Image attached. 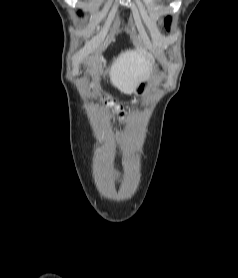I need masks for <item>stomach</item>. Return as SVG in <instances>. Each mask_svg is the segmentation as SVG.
I'll return each mask as SVG.
<instances>
[{"instance_id":"1","label":"stomach","mask_w":238,"mask_h":278,"mask_svg":"<svg viewBox=\"0 0 238 278\" xmlns=\"http://www.w3.org/2000/svg\"><path fill=\"white\" fill-rule=\"evenodd\" d=\"M149 87H150V80L148 78H144L137 83L132 93L136 96L143 95L148 91Z\"/></svg>"}]
</instances>
